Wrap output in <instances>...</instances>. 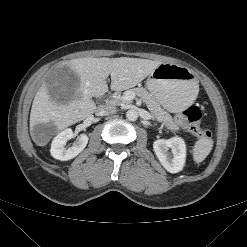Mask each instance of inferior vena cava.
I'll return each instance as SVG.
<instances>
[{"label":"inferior vena cava","instance_id":"inferior-vena-cava-1","mask_svg":"<svg viewBox=\"0 0 247 247\" xmlns=\"http://www.w3.org/2000/svg\"><path fill=\"white\" fill-rule=\"evenodd\" d=\"M116 112V108L110 104L100 105L96 110L97 116H106L110 114H114Z\"/></svg>","mask_w":247,"mask_h":247}]
</instances>
